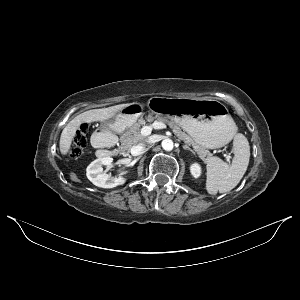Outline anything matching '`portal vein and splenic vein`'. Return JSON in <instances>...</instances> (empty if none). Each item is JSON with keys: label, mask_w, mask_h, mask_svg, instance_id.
Instances as JSON below:
<instances>
[{"label": "portal vein and splenic vein", "mask_w": 300, "mask_h": 300, "mask_svg": "<svg viewBox=\"0 0 300 300\" xmlns=\"http://www.w3.org/2000/svg\"><path fill=\"white\" fill-rule=\"evenodd\" d=\"M164 128H166V125L164 123L155 121L151 126H144L142 128V134L144 136H148L151 134L152 129H164ZM227 158H229V156H227Z\"/></svg>", "instance_id": "18ae733b"}]
</instances>
